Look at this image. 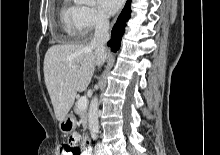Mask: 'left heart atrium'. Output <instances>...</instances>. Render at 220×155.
Here are the masks:
<instances>
[{"mask_svg":"<svg viewBox=\"0 0 220 155\" xmlns=\"http://www.w3.org/2000/svg\"><path fill=\"white\" fill-rule=\"evenodd\" d=\"M124 0H98L99 8L108 15L115 14L122 6Z\"/></svg>","mask_w":220,"mask_h":155,"instance_id":"39dd6f15","label":"left heart atrium"}]
</instances>
